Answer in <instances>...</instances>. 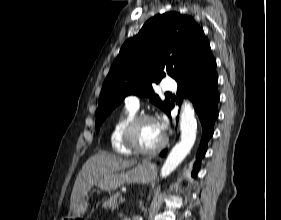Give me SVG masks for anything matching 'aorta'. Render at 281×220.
<instances>
[{
    "label": "aorta",
    "mask_w": 281,
    "mask_h": 220,
    "mask_svg": "<svg viewBox=\"0 0 281 220\" xmlns=\"http://www.w3.org/2000/svg\"><path fill=\"white\" fill-rule=\"evenodd\" d=\"M181 140L177 143L161 168V176L172 173L190 152L196 140L197 122L190 102L185 101L180 115Z\"/></svg>",
    "instance_id": "aorta-1"
}]
</instances>
